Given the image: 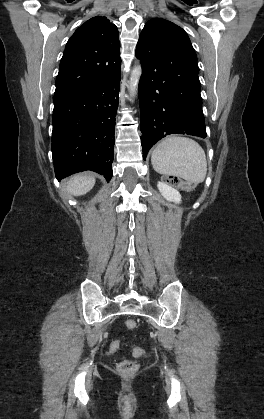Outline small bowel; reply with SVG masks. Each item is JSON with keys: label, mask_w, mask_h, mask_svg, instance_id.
<instances>
[{"label": "small bowel", "mask_w": 264, "mask_h": 419, "mask_svg": "<svg viewBox=\"0 0 264 419\" xmlns=\"http://www.w3.org/2000/svg\"><path fill=\"white\" fill-rule=\"evenodd\" d=\"M119 346H120L119 341L115 340V341H113V342L111 343V345H110V350H111L112 352H116V351L119 349Z\"/></svg>", "instance_id": "small-bowel-1"}]
</instances>
